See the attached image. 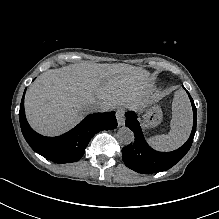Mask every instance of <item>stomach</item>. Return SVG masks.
<instances>
[{"instance_id": "stomach-1", "label": "stomach", "mask_w": 219, "mask_h": 219, "mask_svg": "<svg viewBox=\"0 0 219 219\" xmlns=\"http://www.w3.org/2000/svg\"><path fill=\"white\" fill-rule=\"evenodd\" d=\"M162 121V110L156 103H151L148 108L145 109L141 122L144 129L156 127Z\"/></svg>"}]
</instances>
